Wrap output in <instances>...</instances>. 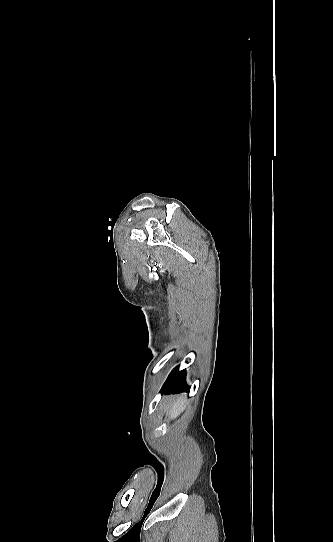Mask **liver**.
Returning a JSON list of instances; mask_svg holds the SVG:
<instances>
[{
	"label": "liver",
	"instance_id": "obj_1",
	"mask_svg": "<svg viewBox=\"0 0 333 542\" xmlns=\"http://www.w3.org/2000/svg\"><path fill=\"white\" fill-rule=\"evenodd\" d=\"M167 412H168V408H166ZM184 410V402L183 400H177V402H175V404H173L169 414V418H171V420H175V418H177V416H180L181 412H183Z\"/></svg>",
	"mask_w": 333,
	"mask_h": 542
}]
</instances>
